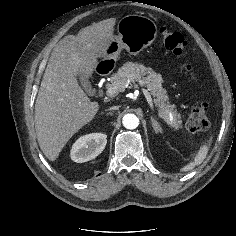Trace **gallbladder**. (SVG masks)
Here are the masks:
<instances>
[{
	"instance_id": "obj_1",
	"label": "gallbladder",
	"mask_w": 236,
	"mask_h": 236,
	"mask_svg": "<svg viewBox=\"0 0 236 236\" xmlns=\"http://www.w3.org/2000/svg\"><path fill=\"white\" fill-rule=\"evenodd\" d=\"M78 78L82 82V85H83V88L85 89V91L88 93H91L92 87H91L89 80L82 75H79Z\"/></svg>"
}]
</instances>
